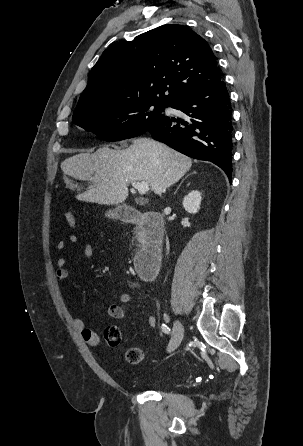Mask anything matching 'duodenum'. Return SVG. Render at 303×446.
I'll use <instances>...</instances> for the list:
<instances>
[{"mask_svg": "<svg viewBox=\"0 0 303 446\" xmlns=\"http://www.w3.org/2000/svg\"><path fill=\"white\" fill-rule=\"evenodd\" d=\"M119 218L124 222L136 224L141 229L144 243L135 255L134 265L144 279H152L161 262L163 218L154 211L139 212L131 208L120 210Z\"/></svg>", "mask_w": 303, "mask_h": 446, "instance_id": "obj_1", "label": "duodenum"}]
</instances>
